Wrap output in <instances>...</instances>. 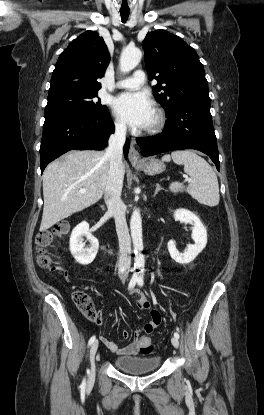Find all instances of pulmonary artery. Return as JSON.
Listing matches in <instances>:
<instances>
[{
  "mask_svg": "<svg viewBox=\"0 0 264 415\" xmlns=\"http://www.w3.org/2000/svg\"><path fill=\"white\" fill-rule=\"evenodd\" d=\"M145 82L144 71H136L132 76L123 79L117 83V87L121 89L135 90L139 89Z\"/></svg>",
  "mask_w": 264,
  "mask_h": 415,
  "instance_id": "obj_1",
  "label": "pulmonary artery"
}]
</instances>
